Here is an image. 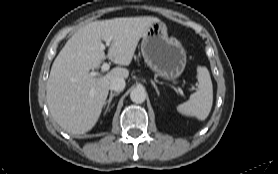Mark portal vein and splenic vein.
Returning <instances> with one entry per match:
<instances>
[{
	"mask_svg": "<svg viewBox=\"0 0 278 174\" xmlns=\"http://www.w3.org/2000/svg\"><path fill=\"white\" fill-rule=\"evenodd\" d=\"M106 44L109 45V43H106ZM102 46H104V45H102ZM109 68H110V65L108 63H103L101 66V71L106 72L109 70ZM98 75H100L98 72H95V71L90 72V76H92V77H95Z\"/></svg>",
	"mask_w": 278,
	"mask_h": 174,
	"instance_id": "obj_1",
	"label": "portal vein and splenic vein"
}]
</instances>
